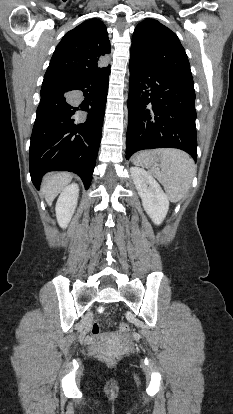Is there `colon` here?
<instances>
[{
    "label": "colon",
    "instance_id": "obj_1",
    "mask_svg": "<svg viewBox=\"0 0 233 414\" xmlns=\"http://www.w3.org/2000/svg\"><path fill=\"white\" fill-rule=\"evenodd\" d=\"M118 329L121 333H127L130 330V327L126 322H122L119 324ZM91 333L93 335H98L100 333V327L98 323H93L91 327Z\"/></svg>",
    "mask_w": 233,
    "mask_h": 414
}]
</instances>
